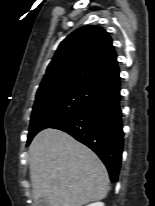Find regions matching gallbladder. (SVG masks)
Returning <instances> with one entry per match:
<instances>
[{
  "label": "gallbladder",
  "instance_id": "gallbladder-1",
  "mask_svg": "<svg viewBox=\"0 0 155 206\" xmlns=\"http://www.w3.org/2000/svg\"><path fill=\"white\" fill-rule=\"evenodd\" d=\"M36 206H48V203L45 201V200H40L37 204H36Z\"/></svg>",
  "mask_w": 155,
  "mask_h": 206
}]
</instances>
